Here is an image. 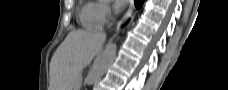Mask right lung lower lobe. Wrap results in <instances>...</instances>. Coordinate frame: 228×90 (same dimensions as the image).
<instances>
[{
  "label": "right lung lower lobe",
  "mask_w": 228,
  "mask_h": 90,
  "mask_svg": "<svg viewBox=\"0 0 228 90\" xmlns=\"http://www.w3.org/2000/svg\"><path fill=\"white\" fill-rule=\"evenodd\" d=\"M144 0H134L136 8L141 7Z\"/></svg>",
  "instance_id": "right-lung-lower-lobe-1"
}]
</instances>
